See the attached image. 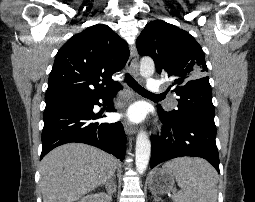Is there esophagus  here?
Wrapping results in <instances>:
<instances>
[{
  "mask_svg": "<svg viewBox=\"0 0 255 202\" xmlns=\"http://www.w3.org/2000/svg\"><path fill=\"white\" fill-rule=\"evenodd\" d=\"M127 69L136 76L138 71V53L135 46L131 50L130 57L127 61ZM123 126L127 134L134 135L136 133V127L128 120H123Z\"/></svg>",
  "mask_w": 255,
  "mask_h": 202,
  "instance_id": "obj_1",
  "label": "esophagus"
}]
</instances>
